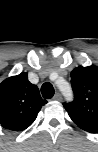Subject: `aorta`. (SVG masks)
I'll list each match as a JSON object with an SVG mask.
<instances>
[{"mask_svg":"<svg viewBox=\"0 0 98 152\" xmlns=\"http://www.w3.org/2000/svg\"><path fill=\"white\" fill-rule=\"evenodd\" d=\"M58 87L67 99H70L72 97L71 87L67 82H63L62 84H59Z\"/></svg>","mask_w":98,"mask_h":152,"instance_id":"762f6f07","label":"aorta"}]
</instances>
